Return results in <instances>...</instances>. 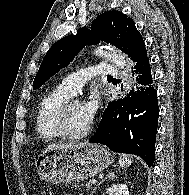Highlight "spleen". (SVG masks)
Returning a JSON list of instances; mask_svg holds the SVG:
<instances>
[{
	"mask_svg": "<svg viewBox=\"0 0 189 195\" xmlns=\"http://www.w3.org/2000/svg\"><path fill=\"white\" fill-rule=\"evenodd\" d=\"M131 163H132V160H131V158L129 156H127L125 154L120 156V158H119V165L121 167H128V166L131 165Z\"/></svg>",
	"mask_w": 189,
	"mask_h": 195,
	"instance_id": "obj_1",
	"label": "spleen"
}]
</instances>
